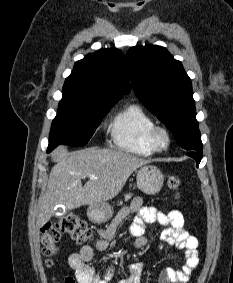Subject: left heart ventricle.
Wrapping results in <instances>:
<instances>
[{
  "mask_svg": "<svg viewBox=\"0 0 233 283\" xmlns=\"http://www.w3.org/2000/svg\"><path fill=\"white\" fill-rule=\"evenodd\" d=\"M164 143H165L164 138H163V137H160V138H159V144H160V145H164Z\"/></svg>",
  "mask_w": 233,
  "mask_h": 283,
  "instance_id": "obj_1",
  "label": "left heart ventricle"
}]
</instances>
